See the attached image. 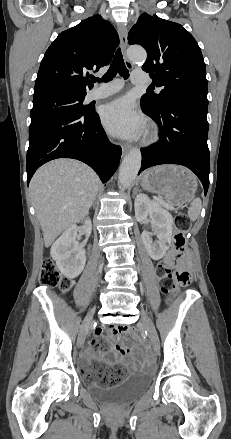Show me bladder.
Returning <instances> with one entry per match:
<instances>
[{"label": "bladder", "mask_w": 231, "mask_h": 439, "mask_svg": "<svg viewBox=\"0 0 231 439\" xmlns=\"http://www.w3.org/2000/svg\"><path fill=\"white\" fill-rule=\"evenodd\" d=\"M95 366L91 364L79 365L78 371L82 378H87ZM150 374H139L128 377L117 385L104 387L99 385H89L88 390L91 396L105 404L124 405L142 394L151 384Z\"/></svg>", "instance_id": "bladder-1"}]
</instances>
